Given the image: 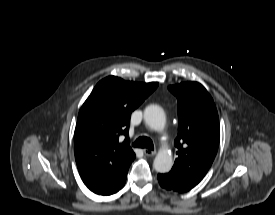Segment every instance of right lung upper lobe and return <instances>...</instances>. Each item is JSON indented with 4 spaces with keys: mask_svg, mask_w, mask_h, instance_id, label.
Here are the masks:
<instances>
[{
    "mask_svg": "<svg viewBox=\"0 0 275 215\" xmlns=\"http://www.w3.org/2000/svg\"><path fill=\"white\" fill-rule=\"evenodd\" d=\"M158 83L101 80L80 109L74 133L75 159L84 183L129 166L135 154L129 146L130 115ZM124 135L126 139L119 141Z\"/></svg>",
    "mask_w": 275,
    "mask_h": 215,
    "instance_id": "right-lung-upper-lobe-1",
    "label": "right lung upper lobe"
}]
</instances>
